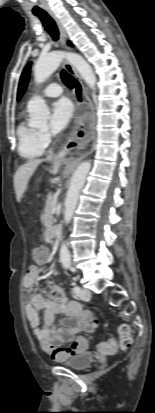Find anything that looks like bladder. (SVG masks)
Listing matches in <instances>:
<instances>
[{"label": "bladder", "instance_id": "1", "mask_svg": "<svg viewBox=\"0 0 155 413\" xmlns=\"http://www.w3.org/2000/svg\"><path fill=\"white\" fill-rule=\"evenodd\" d=\"M94 362V356L91 353L84 352L71 356L64 365L72 370L83 371L89 368Z\"/></svg>", "mask_w": 155, "mask_h": 413}]
</instances>
